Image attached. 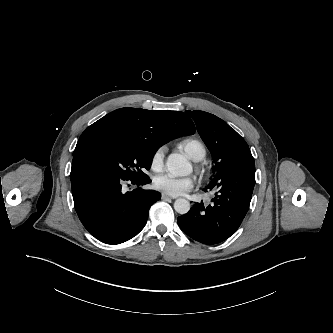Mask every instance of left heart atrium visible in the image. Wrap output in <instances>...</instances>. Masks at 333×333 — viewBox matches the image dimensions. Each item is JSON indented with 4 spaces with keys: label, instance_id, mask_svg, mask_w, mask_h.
<instances>
[{
    "label": "left heart atrium",
    "instance_id": "39dd6f15",
    "mask_svg": "<svg viewBox=\"0 0 333 333\" xmlns=\"http://www.w3.org/2000/svg\"><path fill=\"white\" fill-rule=\"evenodd\" d=\"M194 185V179L190 176L175 177L170 174H160L153 179L154 188L171 197L185 194L190 191Z\"/></svg>",
    "mask_w": 333,
    "mask_h": 333
}]
</instances>
